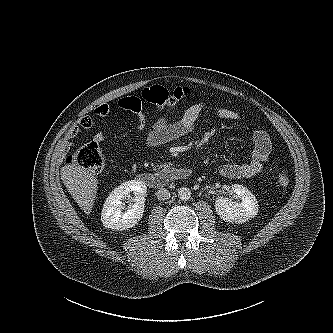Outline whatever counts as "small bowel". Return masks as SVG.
<instances>
[{
	"label": "small bowel",
	"mask_w": 333,
	"mask_h": 333,
	"mask_svg": "<svg viewBox=\"0 0 333 333\" xmlns=\"http://www.w3.org/2000/svg\"><path fill=\"white\" fill-rule=\"evenodd\" d=\"M118 106L135 114L138 119V127H144L145 116L142 111L140 98L135 96L123 97L118 101ZM205 110H209L214 116L224 120L240 121L242 119V116L237 111L213 105L208 101H199L188 107L176 121H170L167 116L157 118L147 132L146 144L151 147L160 146L187 135L194 130L201 114ZM109 113L110 106L108 104L97 106L93 110V116L83 117L79 125L69 129L64 138V146L70 147L72 140L82 129L91 128L96 118H104ZM104 138L103 132H97L93 140L96 143H100ZM252 141L253 148L250 159L242 163L223 164L219 169L222 176L232 179L249 178L261 172L272 151L271 139L266 131L257 129L253 132Z\"/></svg>",
	"instance_id": "1"
}]
</instances>
